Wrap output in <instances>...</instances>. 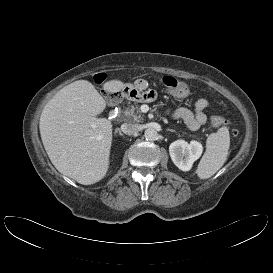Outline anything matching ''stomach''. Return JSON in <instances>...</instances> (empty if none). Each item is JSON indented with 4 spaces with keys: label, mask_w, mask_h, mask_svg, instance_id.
Returning a JSON list of instances; mask_svg holds the SVG:
<instances>
[{
    "label": "stomach",
    "mask_w": 273,
    "mask_h": 273,
    "mask_svg": "<svg viewBox=\"0 0 273 273\" xmlns=\"http://www.w3.org/2000/svg\"><path fill=\"white\" fill-rule=\"evenodd\" d=\"M144 89L138 86H127L122 90V96L132 101L152 102L156 98V93L151 89L143 91Z\"/></svg>",
    "instance_id": "stomach-1"
}]
</instances>
